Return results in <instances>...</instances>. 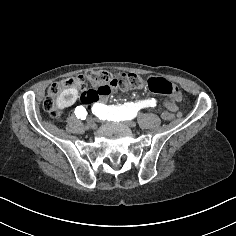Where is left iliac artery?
I'll use <instances>...</instances> for the list:
<instances>
[{"label":"left iliac artery","instance_id":"1","mask_svg":"<svg viewBox=\"0 0 236 236\" xmlns=\"http://www.w3.org/2000/svg\"><path fill=\"white\" fill-rule=\"evenodd\" d=\"M149 106H156V100L152 98V100L124 103V105L119 106L95 103L92 107V113L99 117V119L119 122L133 119L141 108Z\"/></svg>","mask_w":236,"mask_h":236}]
</instances>
